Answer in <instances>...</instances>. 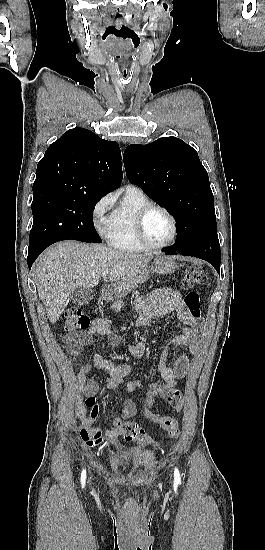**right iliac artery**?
Here are the masks:
<instances>
[{
  "instance_id": "right-iliac-artery-1",
  "label": "right iliac artery",
  "mask_w": 265,
  "mask_h": 550,
  "mask_svg": "<svg viewBox=\"0 0 265 550\" xmlns=\"http://www.w3.org/2000/svg\"><path fill=\"white\" fill-rule=\"evenodd\" d=\"M85 479H86V471L83 470V471H82V474H81V484H82V487H84V485H85Z\"/></svg>"
}]
</instances>
